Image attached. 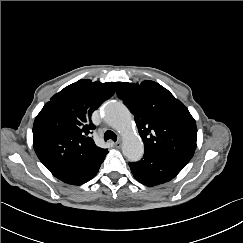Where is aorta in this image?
<instances>
[{"label": "aorta", "instance_id": "aorta-1", "mask_svg": "<svg viewBox=\"0 0 243 243\" xmlns=\"http://www.w3.org/2000/svg\"><path fill=\"white\" fill-rule=\"evenodd\" d=\"M105 121L122 137V152L130 161H138L144 153V145L137 135L132 114L119 101H109L104 107Z\"/></svg>", "mask_w": 243, "mask_h": 243}]
</instances>
